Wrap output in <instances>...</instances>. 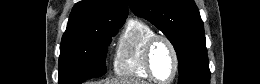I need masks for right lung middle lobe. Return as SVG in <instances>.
Masks as SVG:
<instances>
[{"mask_svg": "<svg viewBox=\"0 0 260 84\" xmlns=\"http://www.w3.org/2000/svg\"><path fill=\"white\" fill-rule=\"evenodd\" d=\"M124 23H105L86 39L62 41L59 57V84H80L106 73V53L111 37Z\"/></svg>", "mask_w": 260, "mask_h": 84, "instance_id": "right-lung-middle-lobe-1", "label": "right lung middle lobe"}]
</instances>
